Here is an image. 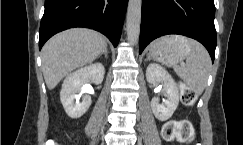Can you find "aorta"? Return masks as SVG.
I'll return each instance as SVG.
<instances>
[{
  "label": "aorta",
  "mask_w": 243,
  "mask_h": 145,
  "mask_svg": "<svg viewBox=\"0 0 243 145\" xmlns=\"http://www.w3.org/2000/svg\"><path fill=\"white\" fill-rule=\"evenodd\" d=\"M142 0H129L126 30L129 43L136 45L139 40Z\"/></svg>",
  "instance_id": "762f6f07"
}]
</instances>
